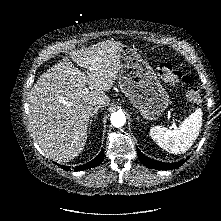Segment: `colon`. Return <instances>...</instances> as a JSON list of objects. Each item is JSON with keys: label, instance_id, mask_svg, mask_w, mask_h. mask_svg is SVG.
Wrapping results in <instances>:
<instances>
[{"label": "colon", "instance_id": "colon-1", "mask_svg": "<svg viewBox=\"0 0 221 221\" xmlns=\"http://www.w3.org/2000/svg\"><path fill=\"white\" fill-rule=\"evenodd\" d=\"M158 75L168 83H181L187 86L186 98L190 103H198L201 100V92L194 84L191 76L181 73L169 62H163L157 67Z\"/></svg>", "mask_w": 221, "mask_h": 221}]
</instances>
